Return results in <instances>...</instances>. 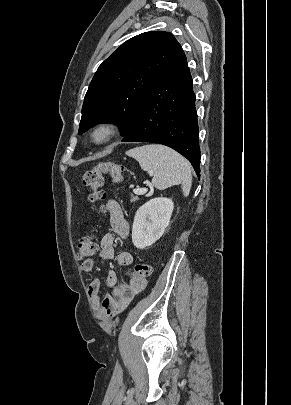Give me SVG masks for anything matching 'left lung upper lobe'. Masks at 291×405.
Wrapping results in <instances>:
<instances>
[{"mask_svg": "<svg viewBox=\"0 0 291 405\" xmlns=\"http://www.w3.org/2000/svg\"><path fill=\"white\" fill-rule=\"evenodd\" d=\"M182 47L169 32H146L122 44L96 71L85 95L78 134L99 122L127 135L142 100Z\"/></svg>", "mask_w": 291, "mask_h": 405, "instance_id": "left-lung-upper-lobe-1", "label": "left lung upper lobe"}]
</instances>
